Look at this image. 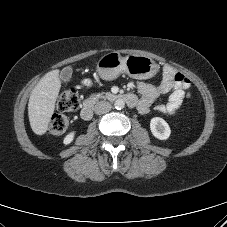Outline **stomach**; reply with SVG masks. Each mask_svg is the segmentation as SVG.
I'll use <instances>...</instances> for the list:
<instances>
[{"label":"stomach","mask_w":227,"mask_h":227,"mask_svg":"<svg viewBox=\"0 0 227 227\" xmlns=\"http://www.w3.org/2000/svg\"><path fill=\"white\" fill-rule=\"evenodd\" d=\"M99 76L104 80H113L121 73L134 79H149L158 71V64L150 57L131 54L122 57L118 52L102 56L96 65Z\"/></svg>","instance_id":"obj_1"}]
</instances>
